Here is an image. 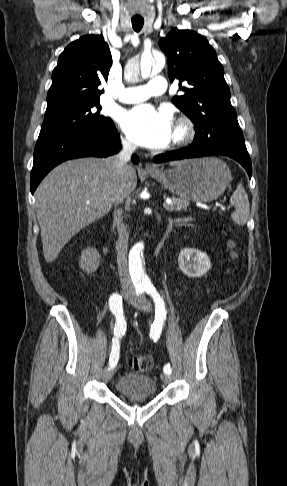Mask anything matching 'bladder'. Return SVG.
Instances as JSON below:
<instances>
[{
  "mask_svg": "<svg viewBox=\"0 0 287 486\" xmlns=\"http://www.w3.org/2000/svg\"><path fill=\"white\" fill-rule=\"evenodd\" d=\"M115 389L125 396L151 397L156 394L157 384L150 375L127 373L117 379Z\"/></svg>",
  "mask_w": 287,
  "mask_h": 486,
  "instance_id": "31cf9c89",
  "label": "bladder"
}]
</instances>
